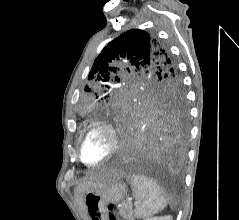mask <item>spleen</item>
<instances>
[{
    "label": "spleen",
    "mask_w": 239,
    "mask_h": 220,
    "mask_svg": "<svg viewBox=\"0 0 239 220\" xmlns=\"http://www.w3.org/2000/svg\"><path fill=\"white\" fill-rule=\"evenodd\" d=\"M133 196L136 199L135 216L147 218L162 211L168 203L161 187L152 179L143 175L128 176Z\"/></svg>",
    "instance_id": "1"
}]
</instances>
